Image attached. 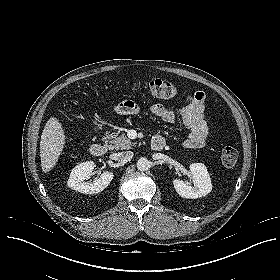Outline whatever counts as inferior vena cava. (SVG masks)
I'll return each mask as SVG.
<instances>
[{
  "label": "inferior vena cava",
  "instance_id": "602c4592",
  "mask_svg": "<svg viewBox=\"0 0 280 280\" xmlns=\"http://www.w3.org/2000/svg\"><path fill=\"white\" fill-rule=\"evenodd\" d=\"M133 152L132 151H123L117 154V159L121 162H128L133 158Z\"/></svg>",
  "mask_w": 280,
  "mask_h": 280
}]
</instances>
